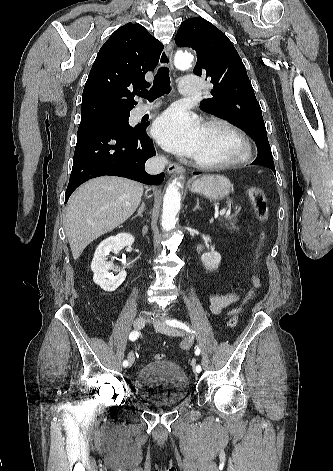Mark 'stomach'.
Listing matches in <instances>:
<instances>
[{
	"instance_id": "0dacf381",
	"label": "stomach",
	"mask_w": 333,
	"mask_h": 471,
	"mask_svg": "<svg viewBox=\"0 0 333 471\" xmlns=\"http://www.w3.org/2000/svg\"><path fill=\"white\" fill-rule=\"evenodd\" d=\"M231 187L229 179L223 175H203L191 184L190 190L210 200H221L229 195Z\"/></svg>"
}]
</instances>
